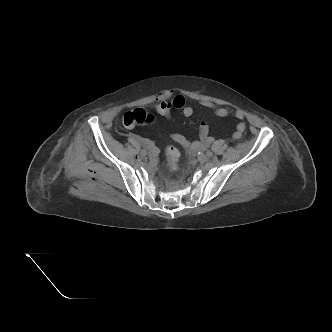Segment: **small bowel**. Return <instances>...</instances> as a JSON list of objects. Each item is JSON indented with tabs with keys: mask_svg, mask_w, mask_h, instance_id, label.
<instances>
[{
	"mask_svg": "<svg viewBox=\"0 0 332 332\" xmlns=\"http://www.w3.org/2000/svg\"><path fill=\"white\" fill-rule=\"evenodd\" d=\"M199 104L213 112L214 115L218 117H227L234 116L238 120H243L245 115L242 111H231L228 108L220 107L215 105L214 103L208 100H200ZM173 109L181 110V113L184 117L189 118L193 115V108L187 104L186 97L183 95H175L173 96L170 93H166L163 95L162 100L155 106V110L158 114L162 116L169 115ZM246 129V124L240 121L233 132L234 139H240ZM199 141L191 142L184 135L180 133H173L171 138L174 142L179 145L190 148V149H201L210 144L213 141V138L209 134V126L205 121H201L199 125ZM150 144V143H149ZM151 150L153 154L157 153V149L150 144Z\"/></svg>",
	"mask_w": 332,
	"mask_h": 332,
	"instance_id": "obj_1",
	"label": "small bowel"
}]
</instances>
